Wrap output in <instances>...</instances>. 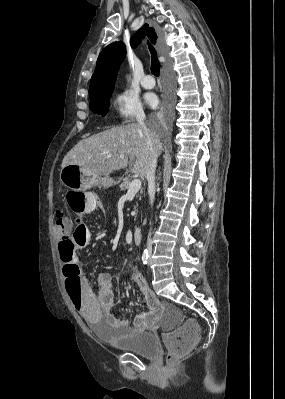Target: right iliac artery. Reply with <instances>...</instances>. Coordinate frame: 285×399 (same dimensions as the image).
Masks as SVG:
<instances>
[{
	"mask_svg": "<svg viewBox=\"0 0 285 399\" xmlns=\"http://www.w3.org/2000/svg\"><path fill=\"white\" fill-rule=\"evenodd\" d=\"M148 258H149V254H148V250H144L143 255H142V261L143 264H147L148 263Z\"/></svg>",
	"mask_w": 285,
	"mask_h": 399,
	"instance_id": "1",
	"label": "right iliac artery"
}]
</instances>
